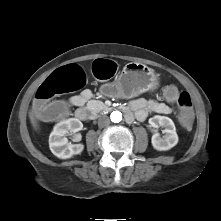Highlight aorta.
Segmentation results:
<instances>
[{
	"instance_id": "762f6f07",
	"label": "aorta",
	"mask_w": 221,
	"mask_h": 221,
	"mask_svg": "<svg viewBox=\"0 0 221 221\" xmlns=\"http://www.w3.org/2000/svg\"><path fill=\"white\" fill-rule=\"evenodd\" d=\"M110 118L112 122L119 123L122 120V113L119 111H113Z\"/></svg>"
}]
</instances>
